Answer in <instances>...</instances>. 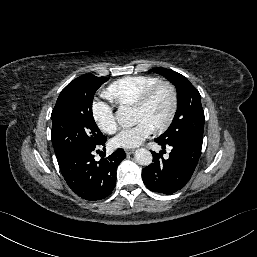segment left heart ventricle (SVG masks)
<instances>
[{
  "instance_id": "obj_1",
  "label": "left heart ventricle",
  "mask_w": 257,
  "mask_h": 257,
  "mask_svg": "<svg viewBox=\"0 0 257 257\" xmlns=\"http://www.w3.org/2000/svg\"><path fill=\"white\" fill-rule=\"evenodd\" d=\"M171 104L170 93L167 89H160L142 110H133L134 122L144 121L155 129L166 120Z\"/></svg>"
}]
</instances>
